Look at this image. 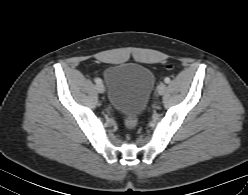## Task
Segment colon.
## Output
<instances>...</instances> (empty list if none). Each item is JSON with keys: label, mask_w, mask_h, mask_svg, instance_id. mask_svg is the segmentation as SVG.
<instances>
[{"label": "colon", "mask_w": 248, "mask_h": 195, "mask_svg": "<svg viewBox=\"0 0 248 195\" xmlns=\"http://www.w3.org/2000/svg\"><path fill=\"white\" fill-rule=\"evenodd\" d=\"M124 122L128 131H133L137 126V118L134 114H127Z\"/></svg>", "instance_id": "obj_1"}]
</instances>
